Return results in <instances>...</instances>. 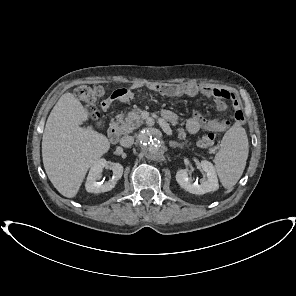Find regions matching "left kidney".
<instances>
[{
    "mask_svg": "<svg viewBox=\"0 0 296 296\" xmlns=\"http://www.w3.org/2000/svg\"><path fill=\"white\" fill-rule=\"evenodd\" d=\"M199 168H201L206 173L207 177L206 180H204L201 184H192L190 182L188 177V169H180L176 173V181L183 189L192 194L202 195L208 192L216 191L219 188V184L213 164L207 160H203L199 164Z\"/></svg>",
    "mask_w": 296,
    "mask_h": 296,
    "instance_id": "obj_1",
    "label": "left kidney"
}]
</instances>
